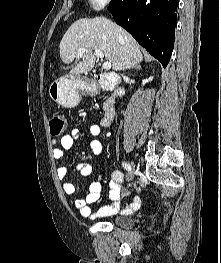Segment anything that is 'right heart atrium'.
Instances as JSON below:
<instances>
[{
	"instance_id": "obj_1",
	"label": "right heart atrium",
	"mask_w": 221,
	"mask_h": 263,
	"mask_svg": "<svg viewBox=\"0 0 221 263\" xmlns=\"http://www.w3.org/2000/svg\"><path fill=\"white\" fill-rule=\"evenodd\" d=\"M110 0H88L90 8L94 11H99L108 5Z\"/></svg>"
}]
</instances>
